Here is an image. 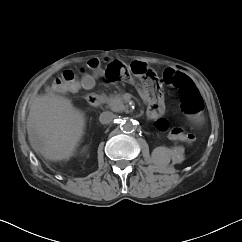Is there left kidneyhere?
I'll return each mask as SVG.
<instances>
[{
    "label": "left kidney",
    "mask_w": 242,
    "mask_h": 242,
    "mask_svg": "<svg viewBox=\"0 0 242 242\" xmlns=\"http://www.w3.org/2000/svg\"><path fill=\"white\" fill-rule=\"evenodd\" d=\"M184 150L183 148L176 150V155L178 154H183ZM179 157V156H178ZM171 150L160 146V147H156L153 152H152V159L154 161L155 164L157 165H167L170 162L171 159ZM183 160V156L176 158L175 161L176 162H180Z\"/></svg>",
    "instance_id": "left-kidney-1"
}]
</instances>
